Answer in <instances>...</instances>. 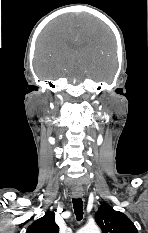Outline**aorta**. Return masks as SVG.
Listing matches in <instances>:
<instances>
[{"instance_id": "1", "label": "aorta", "mask_w": 148, "mask_h": 233, "mask_svg": "<svg viewBox=\"0 0 148 233\" xmlns=\"http://www.w3.org/2000/svg\"><path fill=\"white\" fill-rule=\"evenodd\" d=\"M78 233H101L97 225H87L80 229Z\"/></svg>"}]
</instances>
